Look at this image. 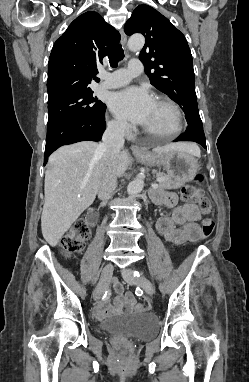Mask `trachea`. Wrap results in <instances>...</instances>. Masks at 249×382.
I'll return each instance as SVG.
<instances>
[{"instance_id":"3493384b","label":"trachea","mask_w":249,"mask_h":382,"mask_svg":"<svg viewBox=\"0 0 249 382\" xmlns=\"http://www.w3.org/2000/svg\"><path fill=\"white\" fill-rule=\"evenodd\" d=\"M109 63L112 68H115L120 60L124 58V52L121 45H117L108 56Z\"/></svg>"}]
</instances>
